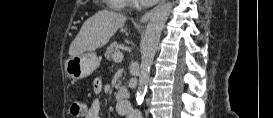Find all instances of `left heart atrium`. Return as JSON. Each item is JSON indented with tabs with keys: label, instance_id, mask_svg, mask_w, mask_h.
<instances>
[{
	"label": "left heart atrium",
	"instance_id": "obj_1",
	"mask_svg": "<svg viewBox=\"0 0 273 118\" xmlns=\"http://www.w3.org/2000/svg\"><path fill=\"white\" fill-rule=\"evenodd\" d=\"M143 1H147V2H149V3H153V2H155L156 0H143Z\"/></svg>",
	"mask_w": 273,
	"mask_h": 118
}]
</instances>
